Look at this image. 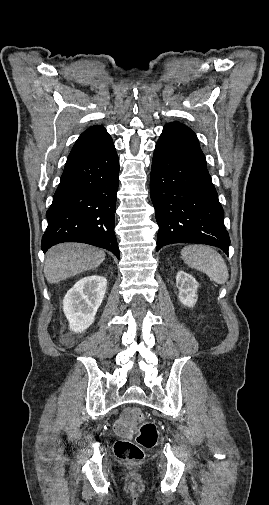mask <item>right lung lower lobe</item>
Masks as SVG:
<instances>
[{"label": "right lung lower lobe", "mask_w": 269, "mask_h": 505, "mask_svg": "<svg viewBox=\"0 0 269 505\" xmlns=\"http://www.w3.org/2000/svg\"><path fill=\"white\" fill-rule=\"evenodd\" d=\"M119 161L113 142L88 156L67 161L46 216L41 248L82 242L119 258L114 233Z\"/></svg>", "instance_id": "obj_1"}]
</instances>
